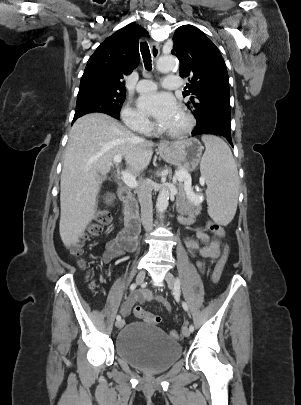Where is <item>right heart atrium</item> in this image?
<instances>
[{"mask_svg": "<svg viewBox=\"0 0 301 405\" xmlns=\"http://www.w3.org/2000/svg\"><path fill=\"white\" fill-rule=\"evenodd\" d=\"M121 117L124 124L132 131L148 133L152 128V124L149 119L130 106L123 108Z\"/></svg>", "mask_w": 301, "mask_h": 405, "instance_id": "d8ad5b80", "label": "right heart atrium"}]
</instances>
